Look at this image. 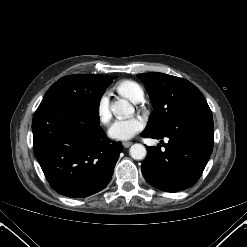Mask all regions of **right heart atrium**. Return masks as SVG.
I'll return each instance as SVG.
<instances>
[{"instance_id": "obj_1", "label": "right heart atrium", "mask_w": 247, "mask_h": 247, "mask_svg": "<svg viewBox=\"0 0 247 247\" xmlns=\"http://www.w3.org/2000/svg\"><path fill=\"white\" fill-rule=\"evenodd\" d=\"M97 116L100 123L108 125L111 121L112 114L110 110V99L107 94H103L97 103Z\"/></svg>"}]
</instances>
